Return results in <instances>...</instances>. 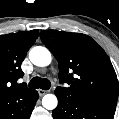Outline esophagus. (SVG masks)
Here are the masks:
<instances>
[{
  "instance_id": "34e87169",
  "label": "esophagus",
  "mask_w": 119,
  "mask_h": 119,
  "mask_svg": "<svg viewBox=\"0 0 119 119\" xmlns=\"http://www.w3.org/2000/svg\"><path fill=\"white\" fill-rule=\"evenodd\" d=\"M47 91L43 90V89H38V93L40 96H43L46 94Z\"/></svg>"
}]
</instances>
